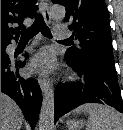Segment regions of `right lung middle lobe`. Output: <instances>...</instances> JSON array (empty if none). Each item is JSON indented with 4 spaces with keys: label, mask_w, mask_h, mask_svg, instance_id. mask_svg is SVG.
Here are the masks:
<instances>
[{
    "label": "right lung middle lobe",
    "mask_w": 123,
    "mask_h": 130,
    "mask_svg": "<svg viewBox=\"0 0 123 130\" xmlns=\"http://www.w3.org/2000/svg\"><path fill=\"white\" fill-rule=\"evenodd\" d=\"M6 49V45H1V51H4Z\"/></svg>",
    "instance_id": "right-lung-middle-lobe-1"
}]
</instances>
